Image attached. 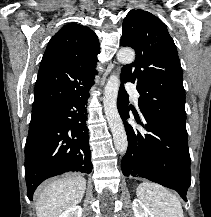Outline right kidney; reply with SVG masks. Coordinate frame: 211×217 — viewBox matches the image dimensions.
Masks as SVG:
<instances>
[{"label": "right kidney", "instance_id": "obj_1", "mask_svg": "<svg viewBox=\"0 0 211 217\" xmlns=\"http://www.w3.org/2000/svg\"><path fill=\"white\" fill-rule=\"evenodd\" d=\"M82 208L80 206H73L63 212L59 217H81Z\"/></svg>", "mask_w": 211, "mask_h": 217}]
</instances>
